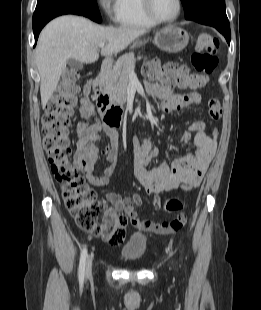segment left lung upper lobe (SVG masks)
I'll use <instances>...</instances> for the list:
<instances>
[{"label": "left lung upper lobe", "instance_id": "5c2ea615", "mask_svg": "<svg viewBox=\"0 0 261 310\" xmlns=\"http://www.w3.org/2000/svg\"><path fill=\"white\" fill-rule=\"evenodd\" d=\"M185 18L196 22L206 20L228 21L225 11V0H181Z\"/></svg>", "mask_w": 261, "mask_h": 310}]
</instances>
